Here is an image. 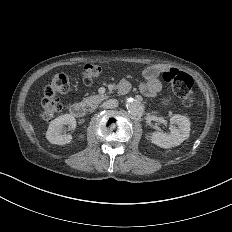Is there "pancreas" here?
I'll return each instance as SVG.
<instances>
[{
  "label": "pancreas",
  "instance_id": "cf45deb5",
  "mask_svg": "<svg viewBox=\"0 0 232 232\" xmlns=\"http://www.w3.org/2000/svg\"><path fill=\"white\" fill-rule=\"evenodd\" d=\"M105 95H94L83 99L82 104L89 107L93 111L104 99Z\"/></svg>",
  "mask_w": 232,
  "mask_h": 232
}]
</instances>
